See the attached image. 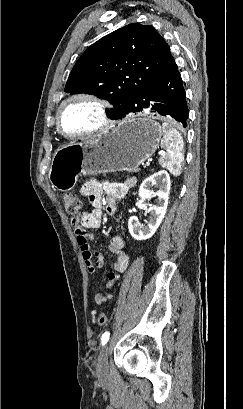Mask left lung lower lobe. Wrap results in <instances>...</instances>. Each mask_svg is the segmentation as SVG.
I'll return each mask as SVG.
<instances>
[{"label":"left lung lower lobe","mask_w":243,"mask_h":409,"mask_svg":"<svg viewBox=\"0 0 243 409\" xmlns=\"http://www.w3.org/2000/svg\"><path fill=\"white\" fill-rule=\"evenodd\" d=\"M135 112L172 117L187 126L186 93L176 64L152 80L134 99L127 114Z\"/></svg>","instance_id":"1"}]
</instances>
